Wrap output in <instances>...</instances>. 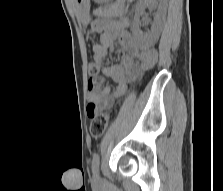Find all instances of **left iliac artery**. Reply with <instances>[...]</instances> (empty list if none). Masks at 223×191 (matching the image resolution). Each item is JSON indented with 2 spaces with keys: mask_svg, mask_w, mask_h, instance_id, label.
I'll return each instance as SVG.
<instances>
[{
  "mask_svg": "<svg viewBox=\"0 0 223 191\" xmlns=\"http://www.w3.org/2000/svg\"><path fill=\"white\" fill-rule=\"evenodd\" d=\"M99 154L95 153L92 159V171L93 172H98L99 168Z\"/></svg>",
  "mask_w": 223,
  "mask_h": 191,
  "instance_id": "left-iliac-artery-1",
  "label": "left iliac artery"
}]
</instances>
